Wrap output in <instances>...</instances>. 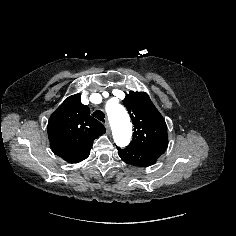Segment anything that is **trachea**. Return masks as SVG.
<instances>
[{"instance_id":"3493384b","label":"trachea","mask_w":236,"mask_h":236,"mask_svg":"<svg viewBox=\"0 0 236 236\" xmlns=\"http://www.w3.org/2000/svg\"><path fill=\"white\" fill-rule=\"evenodd\" d=\"M93 117L97 118L98 120L102 121V122H105V114L103 111L101 110H96L93 114H92Z\"/></svg>"}]
</instances>
